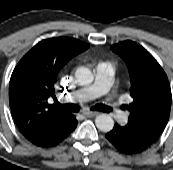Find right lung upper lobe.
<instances>
[{
	"instance_id": "obj_1",
	"label": "right lung upper lobe",
	"mask_w": 173,
	"mask_h": 170,
	"mask_svg": "<svg viewBox=\"0 0 173 170\" xmlns=\"http://www.w3.org/2000/svg\"><path fill=\"white\" fill-rule=\"evenodd\" d=\"M88 47L69 37L46 39L17 64L9 83V104L14 121L25 137L60 123L70 115L49 100L55 98L59 72L73 56Z\"/></svg>"
}]
</instances>
